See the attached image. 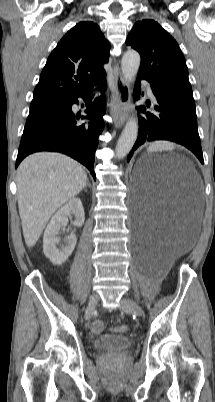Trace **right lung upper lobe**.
<instances>
[{
  "label": "right lung upper lobe",
  "mask_w": 215,
  "mask_h": 402,
  "mask_svg": "<svg viewBox=\"0 0 215 402\" xmlns=\"http://www.w3.org/2000/svg\"><path fill=\"white\" fill-rule=\"evenodd\" d=\"M110 44L97 24L83 21L69 30L52 51L33 100H67L89 90L106 75Z\"/></svg>",
  "instance_id": "obj_1"
}]
</instances>
